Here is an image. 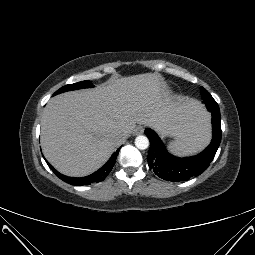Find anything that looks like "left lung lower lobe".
Segmentation results:
<instances>
[{
	"label": "left lung lower lobe",
	"mask_w": 255,
	"mask_h": 255,
	"mask_svg": "<svg viewBox=\"0 0 255 255\" xmlns=\"http://www.w3.org/2000/svg\"><path fill=\"white\" fill-rule=\"evenodd\" d=\"M204 102L212 114L213 137L208 147L196 156L178 158L171 155L153 130L149 128L145 130L151 144L148 164L160 178L175 182L188 180L204 172L213 160L221 141V117L219 107L213 98H206Z\"/></svg>",
	"instance_id": "1"
}]
</instances>
